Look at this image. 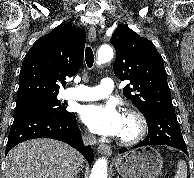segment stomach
<instances>
[{"label":"stomach","mask_w":194,"mask_h":178,"mask_svg":"<svg viewBox=\"0 0 194 178\" xmlns=\"http://www.w3.org/2000/svg\"><path fill=\"white\" fill-rule=\"evenodd\" d=\"M114 165L123 178H157L163 160L157 150L146 146L116 157Z\"/></svg>","instance_id":"obj_1"}]
</instances>
